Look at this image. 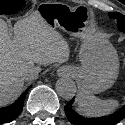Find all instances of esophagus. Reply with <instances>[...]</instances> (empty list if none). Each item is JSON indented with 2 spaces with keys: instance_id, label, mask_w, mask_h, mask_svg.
<instances>
[{
  "instance_id": "34e87169",
  "label": "esophagus",
  "mask_w": 125,
  "mask_h": 125,
  "mask_svg": "<svg viewBox=\"0 0 125 125\" xmlns=\"http://www.w3.org/2000/svg\"><path fill=\"white\" fill-rule=\"evenodd\" d=\"M71 73V69L66 67V68H59L57 70V75L58 76H64V75H69Z\"/></svg>"
}]
</instances>
